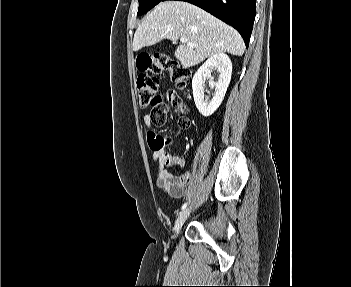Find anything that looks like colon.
Here are the masks:
<instances>
[{
    "label": "colon",
    "mask_w": 351,
    "mask_h": 287,
    "mask_svg": "<svg viewBox=\"0 0 351 287\" xmlns=\"http://www.w3.org/2000/svg\"><path fill=\"white\" fill-rule=\"evenodd\" d=\"M137 67L140 74L137 78L136 90L140 105L142 108L151 106L152 125L162 126L166 121L168 107L158 95V76L167 73L177 87L184 88L191 78V71L161 53L141 55L137 60ZM165 98L180 114L179 126L187 128L190 125V119L187 116L189 108L186 103L173 92L166 93ZM179 178L182 184L187 180L186 175H181Z\"/></svg>",
    "instance_id": "obj_1"
}]
</instances>
